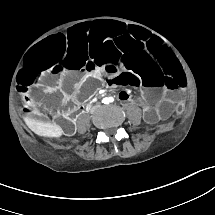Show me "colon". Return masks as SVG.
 Listing matches in <instances>:
<instances>
[{"mask_svg":"<svg viewBox=\"0 0 215 215\" xmlns=\"http://www.w3.org/2000/svg\"><path fill=\"white\" fill-rule=\"evenodd\" d=\"M35 101L40 102L39 100H35ZM178 109H179V110H178V112H177V113H178V114H181V113H182V109H183V108H182V107H179Z\"/></svg>","mask_w":215,"mask_h":215,"instance_id":"5ec220e1","label":"colon"}]
</instances>
